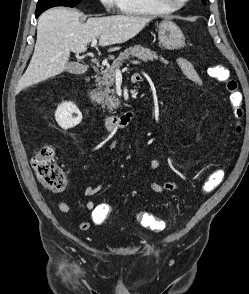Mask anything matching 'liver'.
Segmentation results:
<instances>
[{
	"instance_id": "liver-1",
	"label": "liver",
	"mask_w": 249,
	"mask_h": 294,
	"mask_svg": "<svg viewBox=\"0 0 249 294\" xmlns=\"http://www.w3.org/2000/svg\"><path fill=\"white\" fill-rule=\"evenodd\" d=\"M80 17V12L62 7L49 9L39 17L34 53L17 92L61 74L67 68L70 52H85L93 39L100 37V46L124 43L151 21L147 17L112 15L81 23Z\"/></svg>"
}]
</instances>
